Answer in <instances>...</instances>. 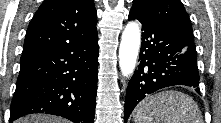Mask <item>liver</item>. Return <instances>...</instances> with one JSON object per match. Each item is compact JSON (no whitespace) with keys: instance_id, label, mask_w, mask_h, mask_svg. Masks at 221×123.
<instances>
[{"instance_id":"6515ba94","label":"liver","mask_w":221,"mask_h":123,"mask_svg":"<svg viewBox=\"0 0 221 123\" xmlns=\"http://www.w3.org/2000/svg\"><path fill=\"white\" fill-rule=\"evenodd\" d=\"M15 123H68V122L64 119L45 114H35L16 120Z\"/></svg>"}]
</instances>
